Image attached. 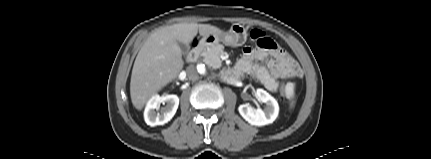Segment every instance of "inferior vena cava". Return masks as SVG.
I'll return each mask as SVG.
<instances>
[{
  "label": "inferior vena cava",
  "mask_w": 431,
  "mask_h": 159,
  "mask_svg": "<svg viewBox=\"0 0 431 159\" xmlns=\"http://www.w3.org/2000/svg\"><path fill=\"white\" fill-rule=\"evenodd\" d=\"M186 72H187V76L190 80H192V81L198 80L199 75H198L196 68L193 65L189 66L187 68Z\"/></svg>",
  "instance_id": "602c4592"
}]
</instances>
